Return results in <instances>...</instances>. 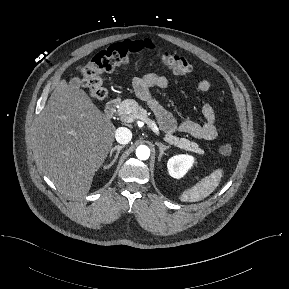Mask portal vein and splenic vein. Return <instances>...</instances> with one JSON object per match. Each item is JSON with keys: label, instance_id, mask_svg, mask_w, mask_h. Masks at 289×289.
<instances>
[{"label": "portal vein and splenic vein", "instance_id": "18ae733b", "mask_svg": "<svg viewBox=\"0 0 289 289\" xmlns=\"http://www.w3.org/2000/svg\"><path fill=\"white\" fill-rule=\"evenodd\" d=\"M136 118L143 120L152 129V131L154 133L159 135L160 131H159V128L157 127L156 123L153 120L149 119L148 117H127V118L123 119V121L127 122V123H131Z\"/></svg>", "mask_w": 289, "mask_h": 289}]
</instances>
